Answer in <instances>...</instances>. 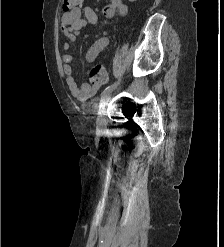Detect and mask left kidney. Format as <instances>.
Instances as JSON below:
<instances>
[{
	"instance_id": "5707ae66",
	"label": "left kidney",
	"mask_w": 224,
	"mask_h": 247,
	"mask_svg": "<svg viewBox=\"0 0 224 247\" xmlns=\"http://www.w3.org/2000/svg\"><path fill=\"white\" fill-rule=\"evenodd\" d=\"M129 2H135V0H129Z\"/></svg>"
}]
</instances>
